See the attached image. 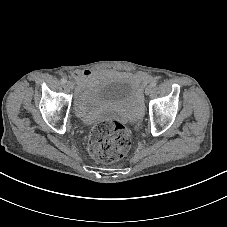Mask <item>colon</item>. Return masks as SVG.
Instances as JSON below:
<instances>
[{"label": "colon", "mask_w": 227, "mask_h": 227, "mask_svg": "<svg viewBox=\"0 0 227 227\" xmlns=\"http://www.w3.org/2000/svg\"><path fill=\"white\" fill-rule=\"evenodd\" d=\"M130 134L124 125L112 121L96 123L88 138L90 155L104 163L117 161L130 146Z\"/></svg>", "instance_id": "colon-1"}]
</instances>
